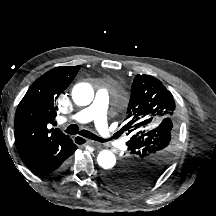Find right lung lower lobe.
I'll return each instance as SVG.
<instances>
[{"instance_id":"1","label":"right lung lower lobe","mask_w":216,"mask_h":216,"mask_svg":"<svg viewBox=\"0 0 216 216\" xmlns=\"http://www.w3.org/2000/svg\"><path fill=\"white\" fill-rule=\"evenodd\" d=\"M76 149L77 146L75 145L72 148H69L65 151H61L53 157L49 158L43 164L31 169V171L37 175L52 174L53 172H55L58 169H61L64 166L66 159L70 157Z\"/></svg>"}]
</instances>
